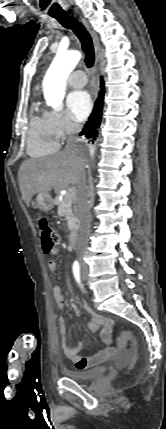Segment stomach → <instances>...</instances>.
<instances>
[{
  "mask_svg": "<svg viewBox=\"0 0 166 429\" xmlns=\"http://www.w3.org/2000/svg\"><path fill=\"white\" fill-rule=\"evenodd\" d=\"M36 206L43 212H48L53 208V199L49 193H38L35 199Z\"/></svg>",
  "mask_w": 166,
  "mask_h": 429,
  "instance_id": "1",
  "label": "stomach"
}]
</instances>
